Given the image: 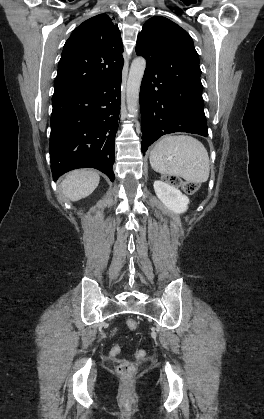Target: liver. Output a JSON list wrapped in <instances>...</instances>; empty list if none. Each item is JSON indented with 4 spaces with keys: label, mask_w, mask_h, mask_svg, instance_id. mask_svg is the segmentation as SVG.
<instances>
[{
    "label": "liver",
    "mask_w": 264,
    "mask_h": 419,
    "mask_svg": "<svg viewBox=\"0 0 264 419\" xmlns=\"http://www.w3.org/2000/svg\"><path fill=\"white\" fill-rule=\"evenodd\" d=\"M99 174L93 170L81 169L69 172L63 180L62 193L71 201L89 196L98 186Z\"/></svg>",
    "instance_id": "1"
}]
</instances>
